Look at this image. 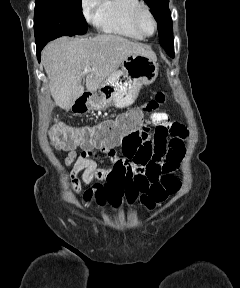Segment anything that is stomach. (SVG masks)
Instances as JSON below:
<instances>
[{
	"instance_id": "obj_1",
	"label": "stomach",
	"mask_w": 240,
	"mask_h": 288,
	"mask_svg": "<svg viewBox=\"0 0 240 288\" xmlns=\"http://www.w3.org/2000/svg\"><path fill=\"white\" fill-rule=\"evenodd\" d=\"M158 74L156 57L131 54L121 63V69L109 75L100 85L98 94L91 96L89 108L104 110L114 106L123 108L132 105L144 85L155 81Z\"/></svg>"
}]
</instances>
